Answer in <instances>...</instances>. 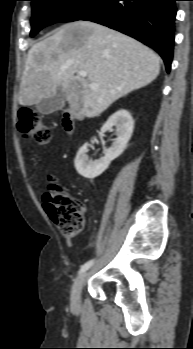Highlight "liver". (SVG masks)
Listing matches in <instances>:
<instances>
[{
    "instance_id": "obj_1",
    "label": "liver",
    "mask_w": 193,
    "mask_h": 349,
    "mask_svg": "<svg viewBox=\"0 0 193 349\" xmlns=\"http://www.w3.org/2000/svg\"><path fill=\"white\" fill-rule=\"evenodd\" d=\"M160 61L154 51L115 30L89 21L67 23L30 48L19 104H37L61 87L72 118H93L155 80ZM79 71L87 76H78Z\"/></svg>"
}]
</instances>
